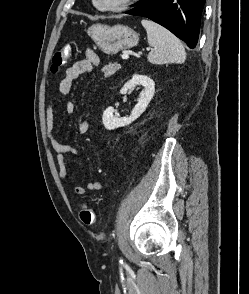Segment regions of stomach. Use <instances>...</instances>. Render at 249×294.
<instances>
[{
    "mask_svg": "<svg viewBox=\"0 0 249 294\" xmlns=\"http://www.w3.org/2000/svg\"><path fill=\"white\" fill-rule=\"evenodd\" d=\"M87 33L99 49L108 55L136 46L139 41L136 31L120 24L112 27L95 24L88 29Z\"/></svg>",
    "mask_w": 249,
    "mask_h": 294,
    "instance_id": "obj_1",
    "label": "stomach"
}]
</instances>
